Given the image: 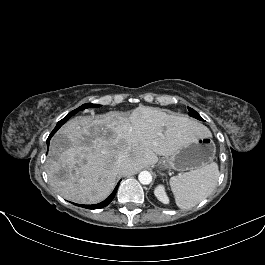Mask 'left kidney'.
<instances>
[{"label":"left kidney","instance_id":"5707ae66","mask_svg":"<svg viewBox=\"0 0 265 265\" xmlns=\"http://www.w3.org/2000/svg\"><path fill=\"white\" fill-rule=\"evenodd\" d=\"M154 194L157 197V199L162 203L164 204L169 203V198L165 192V187L163 185H158L154 190Z\"/></svg>","mask_w":265,"mask_h":265}]
</instances>
